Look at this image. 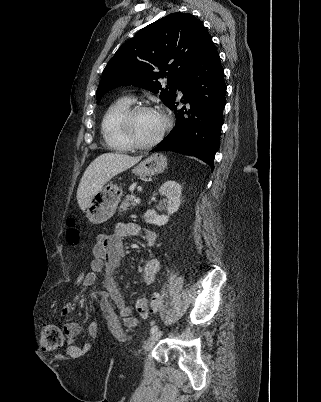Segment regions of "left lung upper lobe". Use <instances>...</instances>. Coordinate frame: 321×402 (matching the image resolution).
<instances>
[{"label":"left lung upper lobe","mask_w":321,"mask_h":402,"mask_svg":"<svg viewBox=\"0 0 321 402\" xmlns=\"http://www.w3.org/2000/svg\"><path fill=\"white\" fill-rule=\"evenodd\" d=\"M209 39L201 21L188 13H172L144 27L117 50L103 70L97 103L111 89L135 85L160 93L168 107ZM160 78L168 79L165 89Z\"/></svg>","instance_id":"5c2ea615"}]
</instances>
